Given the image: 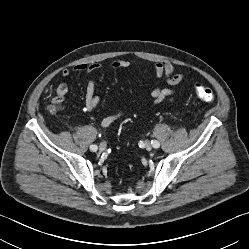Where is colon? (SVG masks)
<instances>
[{"mask_svg": "<svg viewBox=\"0 0 249 249\" xmlns=\"http://www.w3.org/2000/svg\"><path fill=\"white\" fill-rule=\"evenodd\" d=\"M194 90L197 97L204 102H212L215 98L213 91L210 88L200 83L194 84ZM59 109H60V100L53 98L49 106L50 112H56Z\"/></svg>", "mask_w": 249, "mask_h": 249, "instance_id": "obj_1", "label": "colon"}]
</instances>
